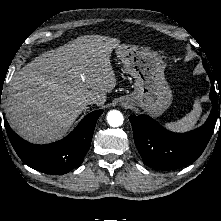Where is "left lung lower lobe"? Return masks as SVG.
Segmentation results:
<instances>
[{"label": "left lung lower lobe", "instance_id": "0a47b994", "mask_svg": "<svg viewBox=\"0 0 221 221\" xmlns=\"http://www.w3.org/2000/svg\"><path fill=\"white\" fill-rule=\"evenodd\" d=\"M203 65L212 84V110L203 126L187 133H173L146 115L129 117L136 147L147 166L157 170L184 167L194 162L208 144L217 120V95L211 71L204 60ZM219 95L221 103V93Z\"/></svg>", "mask_w": 221, "mask_h": 221}]
</instances>
